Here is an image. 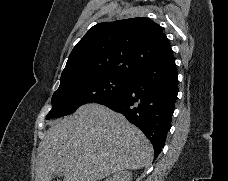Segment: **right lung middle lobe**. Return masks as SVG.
<instances>
[{
    "label": "right lung middle lobe",
    "mask_w": 228,
    "mask_h": 181,
    "mask_svg": "<svg viewBox=\"0 0 228 181\" xmlns=\"http://www.w3.org/2000/svg\"><path fill=\"white\" fill-rule=\"evenodd\" d=\"M130 77L100 75L59 86L52 96V110L46 119L72 114L86 103H105L120 96Z\"/></svg>",
    "instance_id": "right-lung-middle-lobe-1"
}]
</instances>
